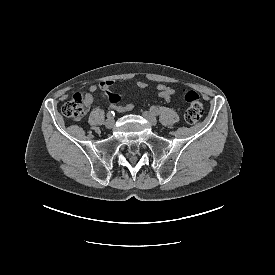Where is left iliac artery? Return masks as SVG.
I'll return each mask as SVG.
<instances>
[{
    "label": "left iliac artery",
    "instance_id": "1",
    "mask_svg": "<svg viewBox=\"0 0 275 275\" xmlns=\"http://www.w3.org/2000/svg\"><path fill=\"white\" fill-rule=\"evenodd\" d=\"M150 111L156 116L158 115V108L156 106H151Z\"/></svg>",
    "mask_w": 275,
    "mask_h": 275
}]
</instances>
